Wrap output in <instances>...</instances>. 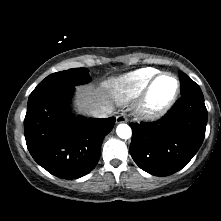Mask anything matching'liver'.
Returning a JSON list of instances; mask_svg holds the SVG:
<instances>
[{
  "label": "liver",
  "mask_w": 221,
  "mask_h": 221,
  "mask_svg": "<svg viewBox=\"0 0 221 221\" xmlns=\"http://www.w3.org/2000/svg\"><path fill=\"white\" fill-rule=\"evenodd\" d=\"M76 105L79 112L89 114V111L101 106L112 107L109 96L92 86H80L77 89Z\"/></svg>",
  "instance_id": "1"
}]
</instances>
